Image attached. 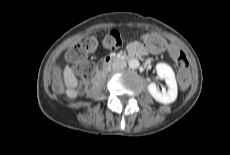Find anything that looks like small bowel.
I'll use <instances>...</instances> for the list:
<instances>
[{
	"label": "small bowel",
	"mask_w": 230,
	"mask_h": 155,
	"mask_svg": "<svg viewBox=\"0 0 230 155\" xmlns=\"http://www.w3.org/2000/svg\"><path fill=\"white\" fill-rule=\"evenodd\" d=\"M161 48L162 47H154L150 44H141L139 42H132L129 44L128 46V51H132L134 53L139 54V55H144L146 53H152V54H155V53H158L161 51Z\"/></svg>",
	"instance_id": "1"
}]
</instances>
